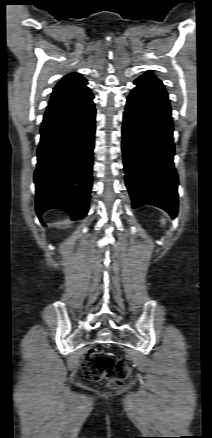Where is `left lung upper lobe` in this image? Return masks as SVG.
Instances as JSON below:
<instances>
[{"label": "left lung upper lobe", "mask_w": 212, "mask_h": 438, "mask_svg": "<svg viewBox=\"0 0 212 438\" xmlns=\"http://www.w3.org/2000/svg\"><path fill=\"white\" fill-rule=\"evenodd\" d=\"M142 77H152V78H156L153 74L151 73H145L144 75H142Z\"/></svg>", "instance_id": "5c2ea615"}]
</instances>
